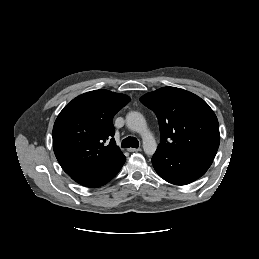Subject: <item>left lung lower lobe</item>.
<instances>
[{
	"instance_id": "obj_1",
	"label": "left lung lower lobe",
	"mask_w": 259,
	"mask_h": 259,
	"mask_svg": "<svg viewBox=\"0 0 259 259\" xmlns=\"http://www.w3.org/2000/svg\"><path fill=\"white\" fill-rule=\"evenodd\" d=\"M214 158L204 156H183L158 147L152 157V164L158 175L175 185L189 184L208 170Z\"/></svg>"
}]
</instances>
